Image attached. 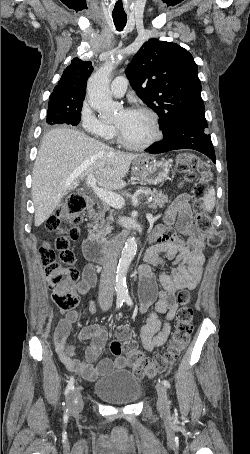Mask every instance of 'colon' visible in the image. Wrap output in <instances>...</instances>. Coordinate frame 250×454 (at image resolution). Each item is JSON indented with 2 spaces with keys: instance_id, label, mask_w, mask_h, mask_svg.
Segmentation results:
<instances>
[{
  "instance_id": "obj_1",
  "label": "colon",
  "mask_w": 250,
  "mask_h": 454,
  "mask_svg": "<svg viewBox=\"0 0 250 454\" xmlns=\"http://www.w3.org/2000/svg\"><path fill=\"white\" fill-rule=\"evenodd\" d=\"M177 166L188 179L199 178L192 191L196 223L206 234L208 244L211 247L219 246L224 239V234L213 228L202 205L207 192V183L212 176L209 164L196 154L186 152L178 155ZM85 208L86 200L83 196L69 195L46 225V230L57 234V237L52 242H45L39 249L52 300L59 309L64 311L73 310L79 303V297L74 289L79 272L75 267V255L69 245L78 237L80 215ZM177 300L180 308L176 315L175 329L167 350L162 356L153 360L144 357L131 339L130 329L125 325L118 329L119 339L111 342V353L115 356L125 355L129 366L137 376L155 377L173 364L185 350L193 328V312L189 307L190 293L186 290L180 291Z\"/></svg>"
}]
</instances>
